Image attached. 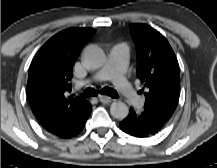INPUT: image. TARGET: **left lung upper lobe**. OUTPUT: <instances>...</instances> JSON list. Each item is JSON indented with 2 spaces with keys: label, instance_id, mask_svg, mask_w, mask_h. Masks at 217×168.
Wrapping results in <instances>:
<instances>
[{
  "label": "left lung upper lobe",
  "instance_id": "5c2ea615",
  "mask_svg": "<svg viewBox=\"0 0 217 168\" xmlns=\"http://www.w3.org/2000/svg\"><path fill=\"white\" fill-rule=\"evenodd\" d=\"M130 32L137 50V77L144 84V110L169 120L179 101V64L167 39L151 26L135 23Z\"/></svg>",
  "mask_w": 217,
  "mask_h": 168
}]
</instances>
